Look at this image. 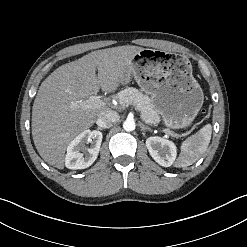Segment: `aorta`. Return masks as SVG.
I'll return each mask as SVG.
<instances>
[{"label":"aorta","instance_id":"obj_1","mask_svg":"<svg viewBox=\"0 0 247 247\" xmlns=\"http://www.w3.org/2000/svg\"><path fill=\"white\" fill-rule=\"evenodd\" d=\"M135 126L136 125H135V122L133 120H126L123 123L124 130L128 131V132L135 130Z\"/></svg>","mask_w":247,"mask_h":247}]
</instances>
